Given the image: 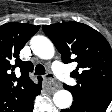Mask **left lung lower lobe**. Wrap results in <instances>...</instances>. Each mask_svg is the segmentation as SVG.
<instances>
[{
    "label": "left lung lower lobe",
    "instance_id": "1",
    "mask_svg": "<svg viewBox=\"0 0 112 112\" xmlns=\"http://www.w3.org/2000/svg\"><path fill=\"white\" fill-rule=\"evenodd\" d=\"M108 105L92 102L73 101L69 109H64L61 112H104Z\"/></svg>",
    "mask_w": 112,
    "mask_h": 112
}]
</instances>
